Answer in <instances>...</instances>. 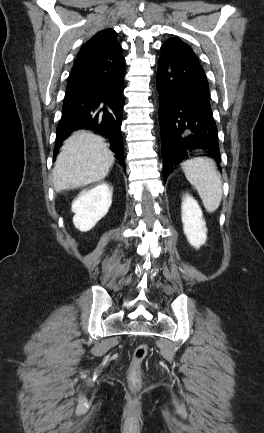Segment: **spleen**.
<instances>
[{
    "label": "spleen",
    "mask_w": 264,
    "mask_h": 433,
    "mask_svg": "<svg viewBox=\"0 0 264 433\" xmlns=\"http://www.w3.org/2000/svg\"><path fill=\"white\" fill-rule=\"evenodd\" d=\"M187 180L196 188L207 212L218 209L222 200V182L215 162L196 157L182 163Z\"/></svg>",
    "instance_id": "1"
}]
</instances>
